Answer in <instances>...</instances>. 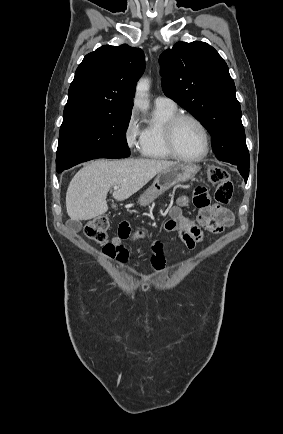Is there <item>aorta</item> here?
<instances>
[{
	"label": "aorta",
	"mask_w": 283,
	"mask_h": 434,
	"mask_svg": "<svg viewBox=\"0 0 283 434\" xmlns=\"http://www.w3.org/2000/svg\"><path fill=\"white\" fill-rule=\"evenodd\" d=\"M149 87L150 81L147 78L140 79L136 86L134 104L141 110H147L149 107V102L147 99Z\"/></svg>",
	"instance_id": "aorta-1"
}]
</instances>
